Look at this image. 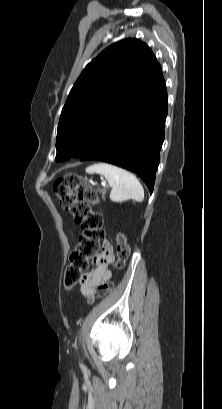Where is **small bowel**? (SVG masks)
<instances>
[{
  "label": "small bowel",
  "instance_id": "small-bowel-1",
  "mask_svg": "<svg viewBox=\"0 0 222 409\" xmlns=\"http://www.w3.org/2000/svg\"><path fill=\"white\" fill-rule=\"evenodd\" d=\"M114 259L115 255L112 244L108 240H104L100 256L92 258V263L96 266L86 272L80 280V292L83 296L90 297L96 288L111 280L112 273L108 266Z\"/></svg>",
  "mask_w": 222,
  "mask_h": 409
}]
</instances>
